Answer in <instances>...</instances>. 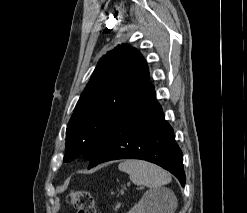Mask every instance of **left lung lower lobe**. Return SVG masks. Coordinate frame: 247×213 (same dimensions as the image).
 Instances as JSON below:
<instances>
[{
	"label": "left lung lower lobe",
	"mask_w": 247,
	"mask_h": 213,
	"mask_svg": "<svg viewBox=\"0 0 247 213\" xmlns=\"http://www.w3.org/2000/svg\"><path fill=\"white\" fill-rule=\"evenodd\" d=\"M142 159L155 163L185 185L182 152L164 119L149 76L141 93L104 134L88 169L109 160Z\"/></svg>",
	"instance_id": "0a47b994"
}]
</instances>
